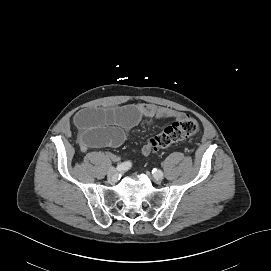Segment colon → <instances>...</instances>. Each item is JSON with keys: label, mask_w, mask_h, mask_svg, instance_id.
<instances>
[{"label": "colon", "mask_w": 271, "mask_h": 271, "mask_svg": "<svg viewBox=\"0 0 271 271\" xmlns=\"http://www.w3.org/2000/svg\"><path fill=\"white\" fill-rule=\"evenodd\" d=\"M197 121L189 115L175 121L163 132L149 140L150 152L155 153L161 149L187 139L198 131Z\"/></svg>", "instance_id": "1"}]
</instances>
